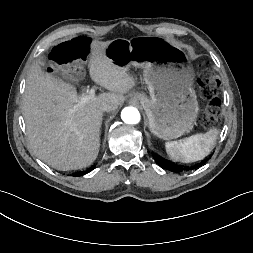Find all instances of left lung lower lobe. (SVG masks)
<instances>
[{
	"label": "left lung lower lobe",
	"instance_id": "obj_1",
	"mask_svg": "<svg viewBox=\"0 0 253 253\" xmlns=\"http://www.w3.org/2000/svg\"><path fill=\"white\" fill-rule=\"evenodd\" d=\"M154 160L156 161V163L162 167L163 169L169 170V171H173L176 173L182 172L183 170H185L183 167L176 165L172 162H169L168 160H165L161 157H159L158 155H153ZM206 161H203L200 165L204 164Z\"/></svg>",
	"mask_w": 253,
	"mask_h": 253
}]
</instances>
